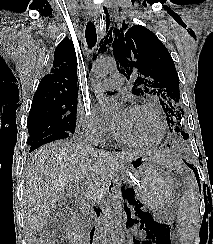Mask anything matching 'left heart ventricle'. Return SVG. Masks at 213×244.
Masks as SVG:
<instances>
[{
    "label": "left heart ventricle",
    "instance_id": "left-heart-ventricle-1",
    "mask_svg": "<svg viewBox=\"0 0 213 244\" xmlns=\"http://www.w3.org/2000/svg\"><path fill=\"white\" fill-rule=\"evenodd\" d=\"M120 113L121 111L116 115L115 120L119 118ZM116 131L121 137L135 142L149 143L160 136L156 120L145 110H126Z\"/></svg>",
    "mask_w": 213,
    "mask_h": 244
}]
</instances>
